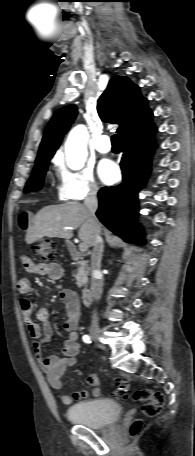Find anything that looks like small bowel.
Segmentation results:
<instances>
[{
	"label": "small bowel",
	"mask_w": 195,
	"mask_h": 456,
	"mask_svg": "<svg viewBox=\"0 0 195 456\" xmlns=\"http://www.w3.org/2000/svg\"><path fill=\"white\" fill-rule=\"evenodd\" d=\"M18 221L20 227L26 230L29 224V214L22 212ZM21 262L24 270L28 273L46 276L53 280H58L63 275V269L58 263H36L27 256H23ZM30 290L31 282L28 278L23 277L18 280L17 294L24 323L30 337L34 340L35 357L46 374L50 386L60 391L63 388L62 376L67 368L76 364V356L80 350L77 332L81 317L80 301L77 294L70 289H64L60 292L65 314L64 330L68 333V336L63 343L61 356H44L41 345L47 342L52 336L49 311L45 307L38 308L34 311L32 301L28 297ZM87 383L93 387L92 396L98 397L100 395L98 376L89 375ZM88 395V392L85 390L76 391L72 395L62 393L60 400L63 404L69 405L73 401L86 399Z\"/></svg>",
	"instance_id": "obj_1"
}]
</instances>
